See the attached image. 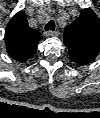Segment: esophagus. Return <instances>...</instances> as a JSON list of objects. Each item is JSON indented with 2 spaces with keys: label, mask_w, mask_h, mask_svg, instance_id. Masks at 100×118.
I'll return each mask as SVG.
<instances>
[{
  "label": "esophagus",
  "mask_w": 100,
  "mask_h": 118,
  "mask_svg": "<svg viewBox=\"0 0 100 118\" xmlns=\"http://www.w3.org/2000/svg\"><path fill=\"white\" fill-rule=\"evenodd\" d=\"M44 35L49 37V36H58L59 35V32L58 31H45L44 32Z\"/></svg>",
  "instance_id": "esophagus-1"
}]
</instances>
